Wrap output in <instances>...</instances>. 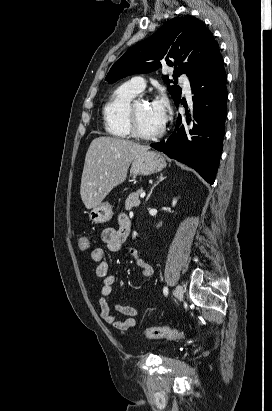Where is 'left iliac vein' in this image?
<instances>
[{
  "label": "left iliac vein",
  "mask_w": 272,
  "mask_h": 411,
  "mask_svg": "<svg viewBox=\"0 0 272 411\" xmlns=\"http://www.w3.org/2000/svg\"><path fill=\"white\" fill-rule=\"evenodd\" d=\"M184 295V289L181 285H177L176 289H175V296L178 300H181L183 298Z\"/></svg>",
  "instance_id": "4c4485c4"
}]
</instances>
